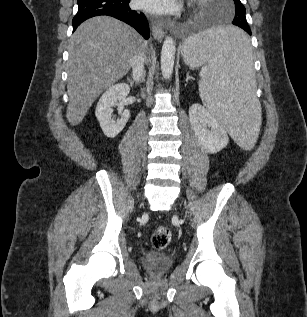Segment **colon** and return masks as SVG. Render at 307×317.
<instances>
[{
	"label": "colon",
	"instance_id": "1",
	"mask_svg": "<svg viewBox=\"0 0 307 317\" xmlns=\"http://www.w3.org/2000/svg\"><path fill=\"white\" fill-rule=\"evenodd\" d=\"M172 240V233L169 228L158 227L152 234L151 243L156 250H163L168 247Z\"/></svg>",
	"mask_w": 307,
	"mask_h": 317
}]
</instances>
